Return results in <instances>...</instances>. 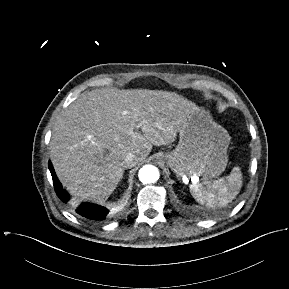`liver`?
Instances as JSON below:
<instances>
[{
  "instance_id": "1",
  "label": "liver",
  "mask_w": 289,
  "mask_h": 289,
  "mask_svg": "<svg viewBox=\"0 0 289 289\" xmlns=\"http://www.w3.org/2000/svg\"><path fill=\"white\" fill-rule=\"evenodd\" d=\"M196 105L174 92L116 88L82 93L57 118L50 158L60 182L80 200L102 204L116 189L133 153L169 145Z\"/></svg>"
}]
</instances>
